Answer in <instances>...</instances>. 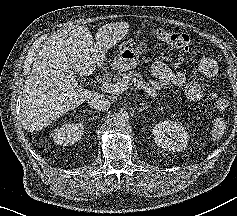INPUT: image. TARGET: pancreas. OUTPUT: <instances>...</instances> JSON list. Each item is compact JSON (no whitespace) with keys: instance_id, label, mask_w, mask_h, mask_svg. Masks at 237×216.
I'll use <instances>...</instances> for the list:
<instances>
[{"instance_id":"pancreas-1","label":"pancreas","mask_w":237,"mask_h":216,"mask_svg":"<svg viewBox=\"0 0 237 216\" xmlns=\"http://www.w3.org/2000/svg\"><path fill=\"white\" fill-rule=\"evenodd\" d=\"M136 79L137 82H140L144 87L149 88L152 93H155L158 88H160L159 82L156 81H150V82H144L142 75L136 72H129L122 74V80H134Z\"/></svg>"}]
</instances>
